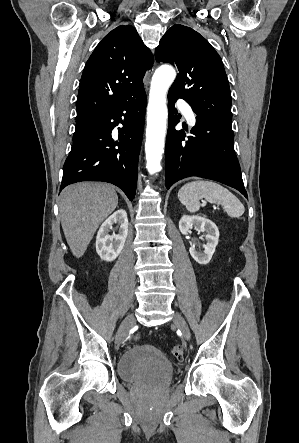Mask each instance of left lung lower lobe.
Wrapping results in <instances>:
<instances>
[{
	"instance_id": "1",
	"label": "left lung lower lobe",
	"mask_w": 299,
	"mask_h": 443,
	"mask_svg": "<svg viewBox=\"0 0 299 443\" xmlns=\"http://www.w3.org/2000/svg\"><path fill=\"white\" fill-rule=\"evenodd\" d=\"M177 99L168 93L169 118L165 147L167 189L180 179L198 176L231 186L247 197L234 151L232 128L197 115L196 125L190 132L192 135L186 137L183 130L176 131L174 128L179 122L174 106Z\"/></svg>"
}]
</instances>
